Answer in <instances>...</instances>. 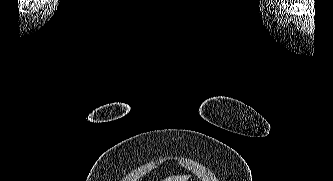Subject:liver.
<instances>
[{
    "label": "liver",
    "mask_w": 333,
    "mask_h": 181,
    "mask_svg": "<svg viewBox=\"0 0 333 181\" xmlns=\"http://www.w3.org/2000/svg\"><path fill=\"white\" fill-rule=\"evenodd\" d=\"M188 176H169L168 178L164 179L163 181H187Z\"/></svg>",
    "instance_id": "6515ba94"
}]
</instances>
